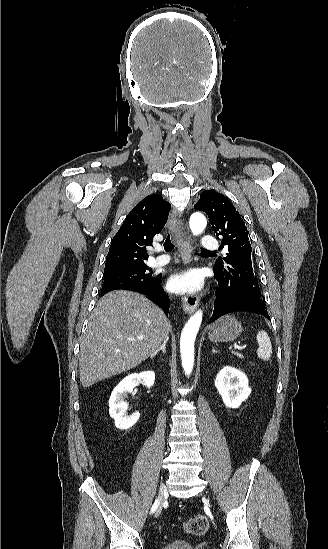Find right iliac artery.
Returning <instances> with one entry per match:
<instances>
[{
    "label": "right iliac artery",
    "instance_id": "82829eb1",
    "mask_svg": "<svg viewBox=\"0 0 328 549\" xmlns=\"http://www.w3.org/2000/svg\"><path fill=\"white\" fill-rule=\"evenodd\" d=\"M157 506H158V500H155V502H154V504L151 508V513H153L156 510Z\"/></svg>",
    "mask_w": 328,
    "mask_h": 549
}]
</instances>
